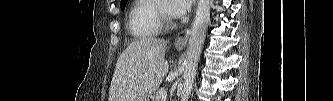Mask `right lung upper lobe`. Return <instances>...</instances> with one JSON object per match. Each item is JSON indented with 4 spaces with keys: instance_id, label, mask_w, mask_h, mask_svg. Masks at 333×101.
I'll return each instance as SVG.
<instances>
[{
    "instance_id": "cb5924a9",
    "label": "right lung upper lobe",
    "mask_w": 333,
    "mask_h": 101,
    "mask_svg": "<svg viewBox=\"0 0 333 101\" xmlns=\"http://www.w3.org/2000/svg\"><path fill=\"white\" fill-rule=\"evenodd\" d=\"M127 0H121V4L125 3Z\"/></svg>"
}]
</instances>
